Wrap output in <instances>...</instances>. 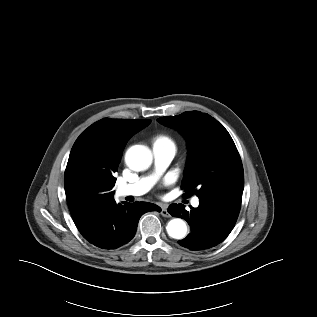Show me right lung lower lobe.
Listing matches in <instances>:
<instances>
[{
  "mask_svg": "<svg viewBox=\"0 0 317 317\" xmlns=\"http://www.w3.org/2000/svg\"><path fill=\"white\" fill-rule=\"evenodd\" d=\"M66 198L74 223L91 244L104 249H116L135 235L140 217L149 211H161L155 204L116 203L113 197L95 200L77 192H67Z\"/></svg>",
  "mask_w": 317,
  "mask_h": 317,
  "instance_id": "98d812e1",
  "label": "right lung lower lobe"
}]
</instances>
